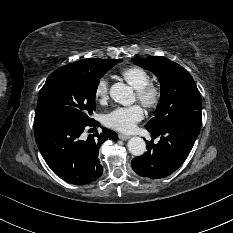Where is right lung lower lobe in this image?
I'll return each instance as SVG.
<instances>
[{
	"instance_id": "obj_1",
	"label": "right lung lower lobe",
	"mask_w": 233,
	"mask_h": 233,
	"mask_svg": "<svg viewBox=\"0 0 233 233\" xmlns=\"http://www.w3.org/2000/svg\"><path fill=\"white\" fill-rule=\"evenodd\" d=\"M99 123L41 117L34 119V134L38 148L50 169L61 179L75 185L87 184L98 179L103 168L98 150L107 139L117 140V134L102 127L84 139L83 132Z\"/></svg>"
}]
</instances>
